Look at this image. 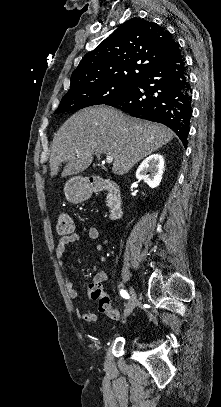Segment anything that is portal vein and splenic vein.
Returning a JSON list of instances; mask_svg holds the SVG:
<instances>
[{
    "mask_svg": "<svg viewBox=\"0 0 221 407\" xmlns=\"http://www.w3.org/2000/svg\"><path fill=\"white\" fill-rule=\"evenodd\" d=\"M105 162L108 163V164H109V163H112V162H113V157L108 155V156L106 157V159H105Z\"/></svg>",
    "mask_w": 221,
    "mask_h": 407,
    "instance_id": "obj_1",
    "label": "portal vein and splenic vein"
}]
</instances>
